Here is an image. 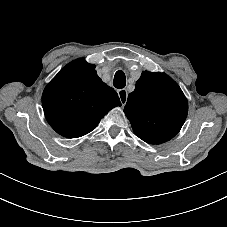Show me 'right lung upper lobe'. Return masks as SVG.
Listing matches in <instances>:
<instances>
[{"label":"right lung upper lobe","instance_id":"1","mask_svg":"<svg viewBox=\"0 0 227 227\" xmlns=\"http://www.w3.org/2000/svg\"><path fill=\"white\" fill-rule=\"evenodd\" d=\"M42 105L48 123L58 134L77 138L91 132L121 102L117 92L98 77L95 65L79 58L46 86Z\"/></svg>","mask_w":227,"mask_h":227}]
</instances>
